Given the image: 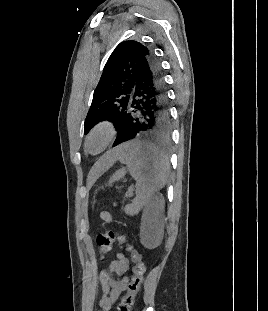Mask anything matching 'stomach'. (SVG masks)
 <instances>
[{"label": "stomach", "instance_id": "0dacf381", "mask_svg": "<svg viewBox=\"0 0 268 311\" xmlns=\"http://www.w3.org/2000/svg\"><path fill=\"white\" fill-rule=\"evenodd\" d=\"M125 174H126L125 168L119 169L110 177L108 185L111 186L115 181H119L125 176Z\"/></svg>", "mask_w": 268, "mask_h": 311}]
</instances>
